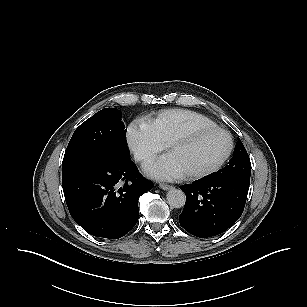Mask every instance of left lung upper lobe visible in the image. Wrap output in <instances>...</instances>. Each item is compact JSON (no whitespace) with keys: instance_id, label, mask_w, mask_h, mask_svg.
I'll list each match as a JSON object with an SVG mask.
<instances>
[{"instance_id":"1","label":"left lung upper lobe","mask_w":307,"mask_h":307,"mask_svg":"<svg viewBox=\"0 0 307 307\" xmlns=\"http://www.w3.org/2000/svg\"><path fill=\"white\" fill-rule=\"evenodd\" d=\"M250 174V159L239 138L234 149V155L228 162V165L207 177L216 180H224L229 178H250Z\"/></svg>"}]
</instances>
